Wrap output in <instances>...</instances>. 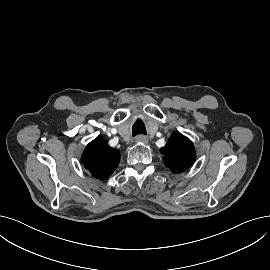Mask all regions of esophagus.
I'll return each instance as SVG.
<instances>
[{"mask_svg":"<svg viewBox=\"0 0 270 270\" xmlns=\"http://www.w3.org/2000/svg\"><path fill=\"white\" fill-rule=\"evenodd\" d=\"M135 142L136 143H144V144H147L148 143V139L146 136L144 135H138L136 138H135Z\"/></svg>","mask_w":270,"mask_h":270,"instance_id":"34e87169","label":"esophagus"}]
</instances>
